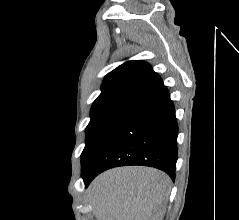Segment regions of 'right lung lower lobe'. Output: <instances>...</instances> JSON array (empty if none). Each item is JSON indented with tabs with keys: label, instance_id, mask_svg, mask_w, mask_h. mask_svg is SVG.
Instances as JSON below:
<instances>
[{
	"label": "right lung lower lobe",
	"instance_id": "right-lung-lower-lobe-1",
	"mask_svg": "<svg viewBox=\"0 0 239 220\" xmlns=\"http://www.w3.org/2000/svg\"><path fill=\"white\" fill-rule=\"evenodd\" d=\"M178 125L162 83L135 102L91 171L86 186L101 172L125 165L151 166L175 179Z\"/></svg>",
	"mask_w": 239,
	"mask_h": 220
}]
</instances>
